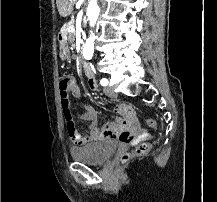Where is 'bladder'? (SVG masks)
Returning <instances> with one entry per match:
<instances>
[{
  "label": "bladder",
  "instance_id": "31cf9c89",
  "mask_svg": "<svg viewBox=\"0 0 217 202\" xmlns=\"http://www.w3.org/2000/svg\"><path fill=\"white\" fill-rule=\"evenodd\" d=\"M117 147L118 144L115 141L105 140L87 144L81 149H72L71 157L86 164H101L107 162Z\"/></svg>",
  "mask_w": 217,
  "mask_h": 202
}]
</instances>
